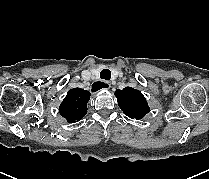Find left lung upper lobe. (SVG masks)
Masks as SVG:
<instances>
[{
  "label": "left lung upper lobe",
  "instance_id": "1",
  "mask_svg": "<svg viewBox=\"0 0 209 179\" xmlns=\"http://www.w3.org/2000/svg\"><path fill=\"white\" fill-rule=\"evenodd\" d=\"M120 109L130 118L141 119L149 111V106L143 94L131 87H126L123 90H116Z\"/></svg>",
  "mask_w": 209,
  "mask_h": 179
}]
</instances>
